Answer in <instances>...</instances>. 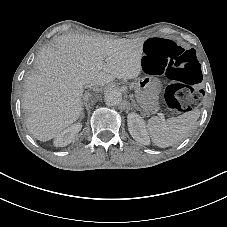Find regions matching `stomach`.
Segmentation results:
<instances>
[{
    "mask_svg": "<svg viewBox=\"0 0 227 227\" xmlns=\"http://www.w3.org/2000/svg\"><path fill=\"white\" fill-rule=\"evenodd\" d=\"M134 90L139 111L153 114L159 107L158 92L154 77L147 75L137 79Z\"/></svg>",
    "mask_w": 227,
    "mask_h": 227,
    "instance_id": "stomach-1",
    "label": "stomach"
}]
</instances>
